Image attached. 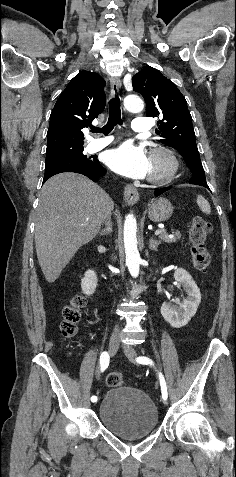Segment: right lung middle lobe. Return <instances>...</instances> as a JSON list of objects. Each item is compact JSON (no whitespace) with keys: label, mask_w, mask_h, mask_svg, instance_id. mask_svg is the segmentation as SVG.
Listing matches in <instances>:
<instances>
[{"label":"right lung middle lobe","mask_w":236,"mask_h":477,"mask_svg":"<svg viewBox=\"0 0 236 477\" xmlns=\"http://www.w3.org/2000/svg\"><path fill=\"white\" fill-rule=\"evenodd\" d=\"M96 162V160H90V158H87V156L83 154V151H81L62 160L46 163L45 173L50 171L66 170L74 167H91Z\"/></svg>","instance_id":"right-lung-middle-lobe-1"}]
</instances>
